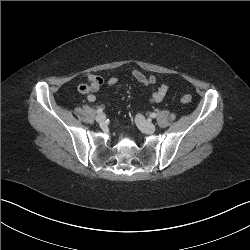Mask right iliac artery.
Wrapping results in <instances>:
<instances>
[{"instance_id":"82829eb1","label":"right iliac artery","mask_w":250,"mask_h":250,"mask_svg":"<svg viewBox=\"0 0 250 250\" xmlns=\"http://www.w3.org/2000/svg\"><path fill=\"white\" fill-rule=\"evenodd\" d=\"M103 112V108H98L97 109V113H102Z\"/></svg>"}]
</instances>
